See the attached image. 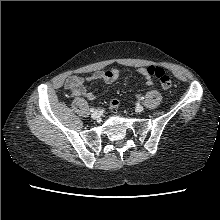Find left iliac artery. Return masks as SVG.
Wrapping results in <instances>:
<instances>
[{
	"instance_id": "left-iliac-artery-1",
	"label": "left iliac artery",
	"mask_w": 220,
	"mask_h": 220,
	"mask_svg": "<svg viewBox=\"0 0 220 220\" xmlns=\"http://www.w3.org/2000/svg\"><path fill=\"white\" fill-rule=\"evenodd\" d=\"M139 99H140V100H144V97H143V96H140Z\"/></svg>"
}]
</instances>
